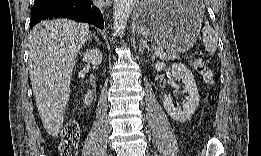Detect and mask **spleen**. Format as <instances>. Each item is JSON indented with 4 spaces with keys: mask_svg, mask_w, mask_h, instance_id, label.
<instances>
[{
    "mask_svg": "<svg viewBox=\"0 0 261 156\" xmlns=\"http://www.w3.org/2000/svg\"><path fill=\"white\" fill-rule=\"evenodd\" d=\"M202 41L204 43L206 51L209 53H215L217 49V37L213 28L209 25L208 21H205V26L202 29Z\"/></svg>",
    "mask_w": 261,
    "mask_h": 156,
    "instance_id": "1",
    "label": "spleen"
}]
</instances>
